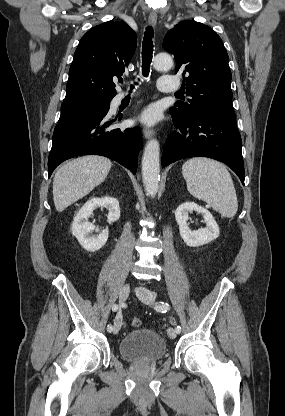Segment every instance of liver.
<instances>
[{
	"label": "liver",
	"mask_w": 285,
	"mask_h": 416,
	"mask_svg": "<svg viewBox=\"0 0 285 416\" xmlns=\"http://www.w3.org/2000/svg\"><path fill=\"white\" fill-rule=\"evenodd\" d=\"M112 162L102 156H83L64 164L53 180V200L57 212L78 202L106 180Z\"/></svg>",
	"instance_id": "obj_1"
}]
</instances>
